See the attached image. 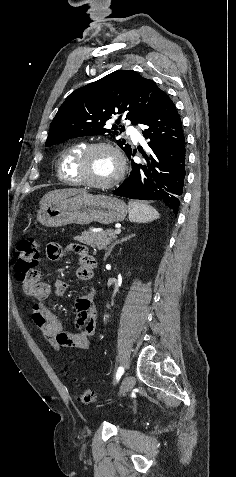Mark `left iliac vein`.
Here are the masks:
<instances>
[{"mask_svg": "<svg viewBox=\"0 0 236 477\" xmlns=\"http://www.w3.org/2000/svg\"><path fill=\"white\" fill-rule=\"evenodd\" d=\"M134 384H135V378L131 375L126 376L122 382L121 394L122 395L127 394L133 388Z\"/></svg>", "mask_w": 236, "mask_h": 477, "instance_id": "4c4485c4", "label": "left iliac vein"}]
</instances>
